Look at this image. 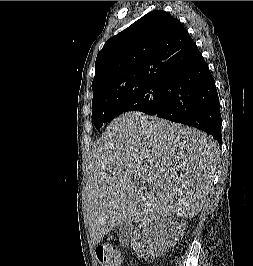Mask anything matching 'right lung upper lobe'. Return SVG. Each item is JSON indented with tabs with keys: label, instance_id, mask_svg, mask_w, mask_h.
I'll return each instance as SVG.
<instances>
[{
	"label": "right lung upper lobe",
	"instance_id": "cb5924a9",
	"mask_svg": "<svg viewBox=\"0 0 253 266\" xmlns=\"http://www.w3.org/2000/svg\"><path fill=\"white\" fill-rule=\"evenodd\" d=\"M200 54L181 22L155 10L110 38L98 53L92 104L163 81Z\"/></svg>",
	"mask_w": 253,
	"mask_h": 266
}]
</instances>
